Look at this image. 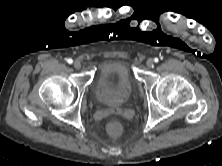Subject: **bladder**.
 I'll return each instance as SVG.
<instances>
[{"instance_id":"bladder-1","label":"bladder","mask_w":222,"mask_h":166,"mask_svg":"<svg viewBox=\"0 0 222 166\" xmlns=\"http://www.w3.org/2000/svg\"><path fill=\"white\" fill-rule=\"evenodd\" d=\"M133 81L127 66L113 63L105 66L94 85V96L102 106L121 107L131 98Z\"/></svg>"}]
</instances>
